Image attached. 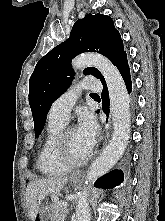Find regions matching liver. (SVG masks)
<instances>
[{"label":"liver","instance_id":"liver-1","mask_svg":"<svg viewBox=\"0 0 165 221\" xmlns=\"http://www.w3.org/2000/svg\"><path fill=\"white\" fill-rule=\"evenodd\" d=\"M67 177L35 179L31 181L26 189V205L28 215L34 221L43 199L50 194H55L64 188Z\"/></svg>","mask_w":165,"mask_h":221}]
</instances>
